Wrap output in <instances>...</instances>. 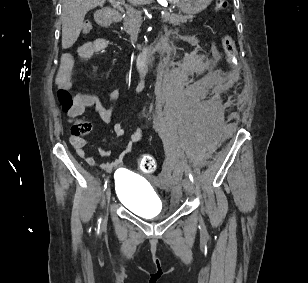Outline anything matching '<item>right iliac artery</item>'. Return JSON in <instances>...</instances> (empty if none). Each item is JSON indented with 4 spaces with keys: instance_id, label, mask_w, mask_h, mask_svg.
<instances>
[{
    "instance_id": "1",
    "label": "right iliac artery",
    "mask_w": 308,
    "mask_h": 283,
    "mask_svg": "<svg viewBox=\"0 0 308 283\" xmlns=\"http://www.w3.org/2000/svg\"><path fill=\"white\" fill-rule=\"evenodd\" d=\"M107 183H108V178H106L105 182H104V189L107 188ZM99 224H98V227H100V224H101V219H99Z\"/></svg>"
}]
</instances>
